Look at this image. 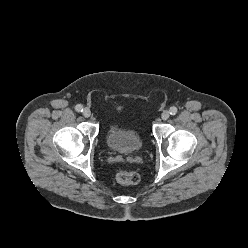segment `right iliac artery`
I'll return each instance as SVG.
<instances>
[{"instance_id": "1", "label": "right iliac artery", "mask_w": 248, "mask_h": 248, "mask_svg": "<svg viewBox=\"0 0 248 248\" xmlns=\"http://www.w3.org/2000/svg\"><path fill=\"white\" fill-rule=\"evenodd\" d=\"M75 110L77 112H82L83 111V106L81 104L76 105Z\"/></svg>"}]
</instances>
